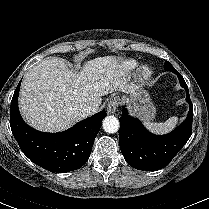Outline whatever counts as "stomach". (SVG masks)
Here are the masks:
<instances>
[{
  "mask_svg": "<svg viewBox=\"0 0 209 209\" xmlns=\"http://www.w3.org/2000/svg\"><path fill=\"white\" fill-rule=\"evenodd\" d=\"M126 100L134 115H137L144 121L154 119L156 108L146 90L142 88L135 89Z\"/></svg>",
  "mask_w": 209,
  "mask_h": 209,
  "instance_id": "0dacf381",
  "label": "stomach"
}]
</instances>
